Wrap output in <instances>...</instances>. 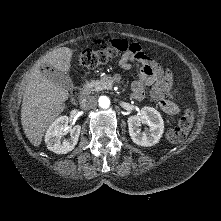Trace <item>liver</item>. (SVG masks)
I'll return each mask as SVG.
<instances>
[{
	"label": "liver",
	"mask_w": 221,
	"mask_h": 221,
	"mask_svg": "<svg viewBox=\"0 0 221 221\" xmlns=\"http://www.w3.org/2000/svg\"><path fill=\"white\" fill-rule=\"evenodd\" d=\"M73 50L67 47L55 49L41 57L32 68L25 88L21 124L30 143L39 147L49 125L66 108L67 89L47 80L41 73L46 64L66 74L70 72Z\"/></svg>",
	"instance_id": "obj_1"
}]
</instances>
